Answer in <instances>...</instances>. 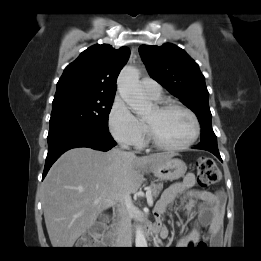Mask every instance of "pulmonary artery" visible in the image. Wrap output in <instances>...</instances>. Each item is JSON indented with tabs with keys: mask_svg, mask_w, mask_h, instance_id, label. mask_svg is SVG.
<instances>
[{
	"mask_svg": "<svg viewBox=\"0 0 261 261\" xmlns=\"http://www.w3.org/2000/svg\"><path fill=\"white\" fill-rule=\"evenodd\" d=\"M143 91L153 99H158L161 96L162 89L160 84L152 78L145 77L140 81Z\"/></svg>",
	"mask_w": 261,
	"mask_h": 261,
	"instance_id": "pulmonary-artery-1",
	"label": "pulmonary artery"
}]
</instances>
